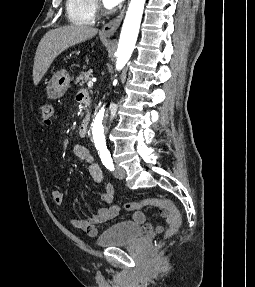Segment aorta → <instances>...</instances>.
<instances>
[{"label":"aorta","mask_w":255,"mask_h":287,"mask_svg":"<svg viewBox=\"0 0 255 287\" xmlns=\"http://www.w3.org/2000/svg\"><path fill=\"white\" fill-rule=\"evenodd\" d=\"M145 1L131 0L129 4L117 49V70H121L132 55L139 33ZM106 117L107 108L106 104H103L95 112V117L89 131L96 147H102L106 144Z\"/></svg>","instance_id":"aorta-1"}]
</instances>
